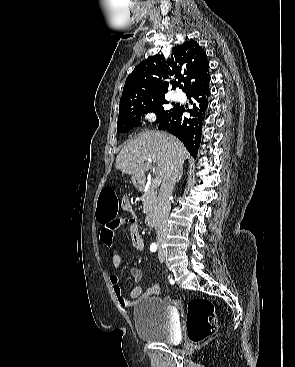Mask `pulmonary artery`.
I'll list each match as a JSON object with an SVG mask.
<instances>
[{
	"label": "pulmonary artery",
	"mask_w": 295,
	"mask_h": 367,
	"mask_svg": "<svg viewBox=\"0 0 295 367\" xmlns=\"http://www.w3.org/2000/svg\"><path fill=\"white\" fill-rule=\"evenodd\" d=\"M174 98H175L176 100H182V99H183V95H182L181 93H176V94L174 95Z\"/></svg>",
	"instance_id": "obj_1"
}]
</instances>
